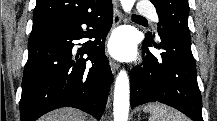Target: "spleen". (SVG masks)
I'll return each instance as SVG.
<instances>
[{"label": "spleen", "mask_w": 217, "mask_h": 121, "mask_svg": "<svg viewBox=\"0 0 217 121\" xmlns=\"http://www.w3.org/2000/svg\"><path fill=\"white\" fill-rule=\"evenodd\" d=\"M144 111L150 113V121H188L178 111L160 103L148 104Z\"/></svg>", "instance_id": "3e777b00"}]
</instances>
